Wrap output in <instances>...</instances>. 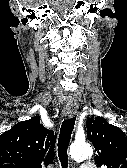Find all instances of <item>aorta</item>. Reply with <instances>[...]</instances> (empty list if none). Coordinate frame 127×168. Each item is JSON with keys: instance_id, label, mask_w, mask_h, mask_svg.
Listing matches in <instances>:
<instances>
[{"instance_id": "obj_1", "label": "aorta", "mask_w": 127, "mask_h": 168, "mask_svg": "<svg viewBox=\"0 0 127 168\" xmlns=\"http://www.w3.org/2000/svg\"><path fill=\"white\" fill-rule=\"evenodd\" d=\"M93 154L92 147L86 143H76L70 148L71 158L75 161H82L91 158Z\"/></svg>"}]
</instances>
